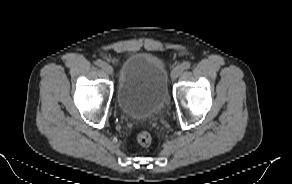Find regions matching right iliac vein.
Segmentation results:
<instances>
[{
  "mask_svg": "<svg viewBox=\"0 0 292 184\" xmlns=\"http://www.w3.org/2000/svg\"><path fill=\"white\" fill-rule=\"evenodd\" d=\"M102 70H103L106 74H109V75H111V74L113 73V68H112V66L109 65V64H104V65L102 66Z\"/></svg>",
  "mask_w": 292,
  "mask_h": 184,
  "instance_id": "right-iliac-vein-1",
  "label": "right iliac vein"
}]
</instances>
